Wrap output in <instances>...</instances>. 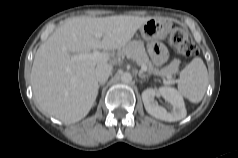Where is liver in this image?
I'll list each match as a JSON object with an SVG mask.
<instances>
[{"mask_svg": "<svg viewBox=\"0 0 238 158\" xmlns=\"http://www.w3.org/2000/svg\"><path fill=\"white\" fill-rule=\"evenodd\" d=\"M149 19L125 15L67 19L34 57L31 84L41 111L66 124L83 119L98 94L95 66L107 63L109 57L100 60L73 57L96 49H121ZM96 33H102V37L97 38Z\"/></svg>", "mask_w": 238, "mask_h": 158, "instance_id": "1", "label": "liver"}]
</instances>
